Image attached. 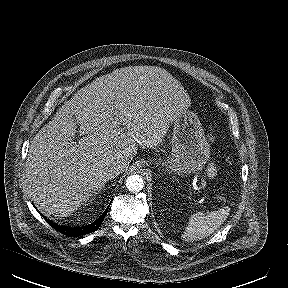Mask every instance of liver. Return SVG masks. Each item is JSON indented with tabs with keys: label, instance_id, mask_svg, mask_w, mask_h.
I'll return each mask as SVG.
<instances>
[{
	"label": "liver",
	"instance_id": "6515ba94",
	"mask_svg": "<svg viewBox=\"0 0 288 288\" xmlns=\"http://www.w3.org/2000/svg\"><path fill=\"white\" fill-rule=\"evenodd\" d=\"M190 105L180 82L157 66L124 67L97 78L31 141L29 195L46 212L69 216L108 181L100 173L104 165L119 163L121 172L127 170L138 145L156 148ZM77 125L86 135L79 144Z\"/></svg>",
	"mask_w": 288,
	"mask_h": 288
}]
</instances>
